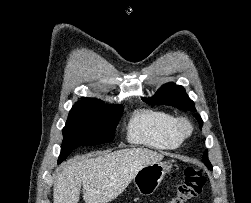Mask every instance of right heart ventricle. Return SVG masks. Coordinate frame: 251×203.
<instances>
[{
	"instance_id": "1",
	"label": "right heart ventricle",
	"mask_w": 251,
	"mask_h": 203,
	"mask_svg": "<svg viewBox=\"0 0 251 203\" xmlns=\"http://www.w3.org/2000/svg\"><path fill=\"white\" fill-rule=\"evenodd\" d=\"M176 120L173 114L164 110L140 109L128 123L127 139L155 149H175L183 140L176 128Z\"/></svg>"
}]
</instances>
